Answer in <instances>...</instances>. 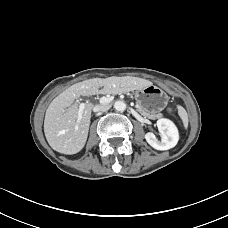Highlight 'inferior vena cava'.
Wrapping results in <instances>:
<instances>
[{
	"label": "inferior vena cava",
	"mask_w": 228,
	"mask_h": 228,
	"mask_svg": "<svg viewBox=\"0 0 228 228\" xmlns=\"http://www.w3.org/2000/svg\"><path fill=\"white\" fill-rule=\"evenodd\" d=\"M110 105L109 104H99V105H95L93 108L94 112H102V111H107L110 109Z\"/></svg>",
	"instance_id": "1"
}]
</instances>
